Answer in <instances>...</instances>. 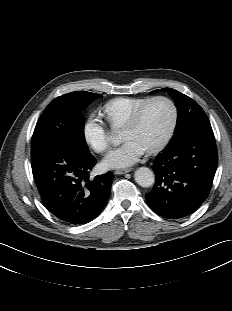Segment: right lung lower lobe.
Wrapping results in <instances>:
<instances>
[{"label":"right lung lower lobe","instance_id":"obj_1","mask_svg":"<svg viewBox=\"0 0 232 311\" xmlns=\"http://www.w3.org/2000/svg\"><path fill=\"white\" fill-rule=\"evenodd\" d=\"M32 172L41 199L63 222L85 224L103 210L114 175L89 178L94 156L62 145H46L31 151Z\"/></svg>","mask_w":232,"mask_h":311}]
</instances>
